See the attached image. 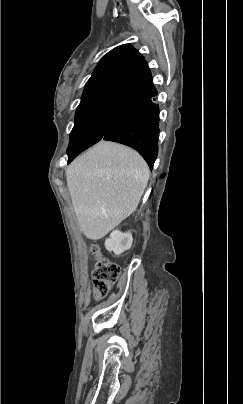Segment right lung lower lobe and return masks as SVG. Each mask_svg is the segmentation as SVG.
<instances>
[{"instance_id": "right-lung-lower-lobe-1", "label": "right lung lower lobe", "mask_w": 243, "mask_h": 404, "mask_svg": "<svg viewBox=\"0 0 243 404\" xmlns=\"http://www.w3.org/2000/svg\"><path fill=\"white\" fill-rule=\"evenodd\" d=\"M156 93L130 101L112 121L102 140L132 147L153 168L158 153L159 107L154 103Z\"/></svg>"}]
</instances>
